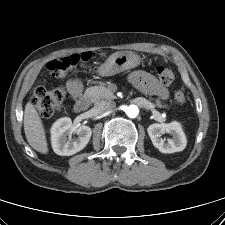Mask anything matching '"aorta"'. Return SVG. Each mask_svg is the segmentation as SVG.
<instances>
[{"label": "aorta", "instance_id": "aorta-1", "mask_svg": "<svg viewBox=\"0 0 225 225\" xmlns=\"http://www.w3.org/2000/svg\"><path fill=\"white\" fill-rule=\"evenodd\" d=\"M126 114L129 118H136L139 114V108L136 105H129L126 109Z\"/></svg>", "mask_w": 225, "mask_h": 225}]
</instances>
